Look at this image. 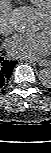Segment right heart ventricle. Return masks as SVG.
I'll list each match as a JSON object with an SVG mask.
<instances>
[{"label": "right heart ventricle", "mask_w": 51, "mask_h": 153, "mask_svg": "<svg viewBox=\"0 0 51 153\" xmlns=\"http://www.w3.org/2000/svg\"><path fill=\"white\" fill-rule=\"evenodd\" d=\"M39 11L43 12L51 7V0H29Z\"/></svg>", "instance_id": "obj_1"}]
</instances>
